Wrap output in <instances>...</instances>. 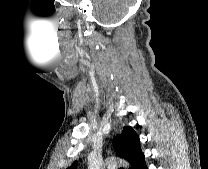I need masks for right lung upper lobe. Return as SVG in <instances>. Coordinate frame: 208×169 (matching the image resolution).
<instances>
[{
    "mask_svg": "<svg viewBox=\"0 0 208 169\" xmlns=\"http://www.w3.org/2000/svg\"><path fill=\"white\" fill-rule=\"evenodd\" d=\"M114 147L117 156L129 162L130 169H135L144 159L139 136L130 126H125L122 133L114 138ZM76 165L77 161L67 169H75Z\"/></svg>",
    "mask_w": 208,
    "mask_h": 169,
    "instance_id": "obj_1",
    "label": "right lung upper lobe"
}]
</instances>
